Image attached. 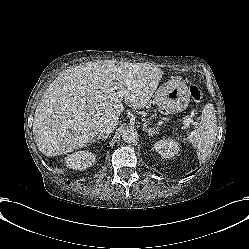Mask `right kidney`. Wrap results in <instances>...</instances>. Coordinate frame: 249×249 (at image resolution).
Masks as SVG:
<instances>
[{"label":"right kidney","instance_id":"right-kidney-1","mask_svg":"<svg viewBox=\"0 0 249 249\" xmlns=\"http://www.w3.org/2000/svg\"><path fill=\"white\" fill-rule=\"evenodd\" d=\"M90 165H92V162L91 161H87L84 163V166L85 167H90Z\"/></svg>","mask_w":249,"mask_h":249}]
</instances>
